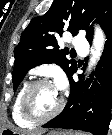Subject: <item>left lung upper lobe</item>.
<instances>
[{
	"instance_id": "obj_1",
	"label": "left lung upper lobe",
	"mask_w": 112,
	"mask_h": 135,
	"mask_svg": "<svg viewBox=\"0 0 112 135\" xmlns=\"http://www.w3.org/2000/svg\"><path fill=\"white\" fill-rule=\"evenodd\" d=\"M94 18L93 24L98 22L105 29L112 20V1L54 0L44 15L33 18L14 49V90L31 68L44 63H56L69 77L77 65L66 58L68 49H59L57 38L65 31L75 36L84 30L87 40L92 42Z\"/></svg>"
}]
</instances>
